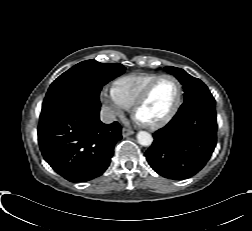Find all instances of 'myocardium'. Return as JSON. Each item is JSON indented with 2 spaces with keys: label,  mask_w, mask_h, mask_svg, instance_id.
Listing matches in <instances>:
<instances>
[{
  "label": "myocardium",
  "mask_w": 252,
  "mask_h": 231,
  "mask_svg": "<svg viewBox=\"0 0 252 231\" xmlns=\"http://www.w3.org/2000/svg\"><path fill=\"white\" fill-rule=\"evenodd\" d=\"M165 78H169L172 79L176 85H177V97L175 100L174 105L172 106L171 110L160 120L156 121V122H152V123H145V122H141V124L150 130H156L159 129L165 125H167L173 118L174 116L177 114L181 104H182V99H183V86L182 83L179 81L178 78H176L173 75L170 74H163L160 75L159 77H157L155 80H153L145 89L144 91L141 93V95L137 98V100L134 102L133 106H132V112L133 115L137 118V112L139 110V108L147 101V99L149 98L152 90L154 89V87L163 79Z\"/></svg>",
  "instance_id": "1"
}]
</instances>
